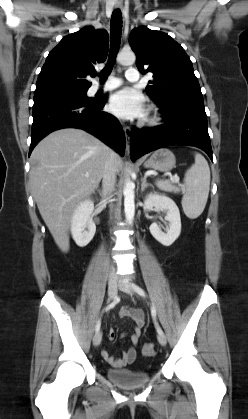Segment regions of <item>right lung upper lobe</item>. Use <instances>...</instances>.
<instances>
[{
	"instance_id": "right-lung-upper-lobe-1",
	"label": "right lung upper lobe",
	"mask_w": 248,
	"mask_h": 419,
	"mask_svg": "<svg viewBox=\"0 0 248 419\" xmlns=\"http://www.w3.org/2000/svg\"><path fill=\"white\" fill-rule=\"evenodd\" d=\"M109 36L105 30L84 27L65 36L49 52L38 76L34 95L62 90H86L94 65L106 60Z\"/></svg>"
}]
</instances>
